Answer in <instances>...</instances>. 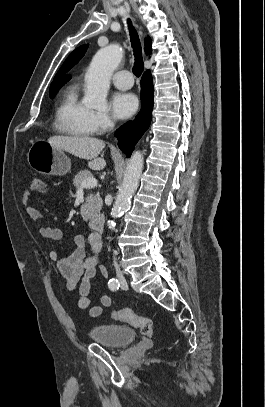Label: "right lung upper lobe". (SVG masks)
<instances>
[{"mask_svg":"<svg viewBox=\"0 0 265 407\" xmlns=\"http://www.w3.org/2000/svg\"><path fill=\"white\" fill-rule=\"evenodd\" d=\"M87 48H88V44L82 45V46L78 47L76 50H74L69 55V57L64 62L63 66L60 68V70L54 77V80L51 83V85L64 84L71 78V76L65 75L66 72H68L75 64H77L81 60V58L84 56ZM145 52H146V54H149L152 52L151 39L149 37L146 38Z\"/></svg>","mask_w":265,"mask_h":407,"instance_id":"1","label":"right lung upper lobe"}]
</instances>
